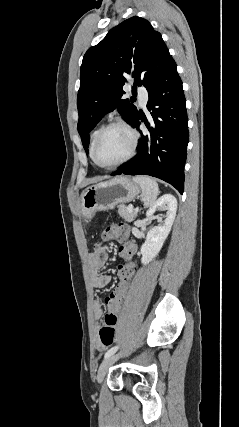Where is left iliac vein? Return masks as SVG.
Wrapping results in <instances>:
<instances>
[{
	"label": "left iliac vein",
	"mask_w": 239,
	"mask_h": 427,
	"mask_svg": "<svg viewBox=\"0 0 239 427\" xmlns=\"http://www.w3.org/2000/svg\"><path fill=\"white\" fill-rule=\"evenodd\" d=\"M119 357H120V354H113L110 357L103 360V362L100 364L97 377H96L98 383H101L104 380L108 372V369L118 360Z\"/></svg>",
	"instance_id": "1"
}]
</instances>
